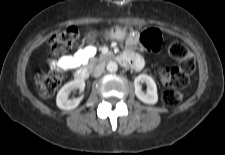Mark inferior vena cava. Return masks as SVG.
<instances>
[{
  "mask_svg": "<svg viewBox=\"0 0 225 155\" xmlns=\"http://www.w3.org/2000/svg\"><path fill=\"white\" fill-rule=\"evenodd\" d=\"M104 70H105V65L104 64H98L93 69V76L99 77L104 72Z\"/></svg>",
  "mask_w": 225,
  "mask_h": 155,
  "instance_id": "602c4592",
  "label": "inferior vena cava"
}]
</instances>
